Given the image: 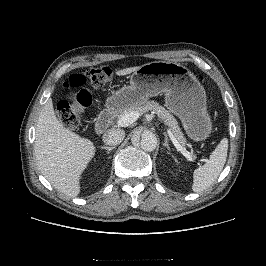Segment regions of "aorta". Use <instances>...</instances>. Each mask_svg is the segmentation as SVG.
Instances as JSON below:
<instances>
[{"label": "aorta", "instance_id": "762f6f07", "mask_svg": "<svg viewBox=\"0 0 266 266\" xmlns=\"http://www.w3.org/2000/svg\"><path fill=\"white\" fill-rule=\"evenodd\" d=\"M132 142L139 145L142 150L151 152L157 146V137L152 131L145 130L139 136H134Z\"/></svg>", "mask_w": 266, "mask_h": 266}]
</instances>
